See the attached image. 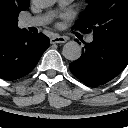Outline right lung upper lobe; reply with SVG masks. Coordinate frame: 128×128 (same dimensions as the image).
<instances>
[{"mask_svg": "<svg viewBox=\"0 0 128 128\" xmlns=\"http://www.w3.org/2000/svg\"><path fill=\"white\" fill-rule=\"evenodd\" d=\"M30 0H0V38L15 35L18 27V15L29 7Z\"/></svg>", "mask_w": 128, "mask_h": 128, "instance_id": "right-lung-upper-lobe-1", "label": "right lung upper lobe"}]
</instances>
